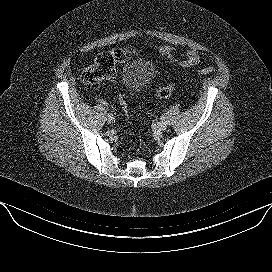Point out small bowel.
Wrapping results in <instances>:
<instances>
[{
	"mask_svg": "<svg viewBox=\"0 0 272 272\" xmlns=\"http://www.w3.org/2000/svg\"><path fill=\"white\" fill-rule=\"evenodd\" d=\"M159 52L171 62L189 68L201 63V55L197 50H189L183 57H178L175 52L167 45H159Z\"/></svg>",
	"mask_w": 272,
	"mask_h": 272,
	"instance_id": "small-bowel-1",
	"label": "small bowel"
}]
</instances>
